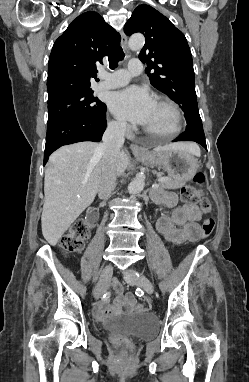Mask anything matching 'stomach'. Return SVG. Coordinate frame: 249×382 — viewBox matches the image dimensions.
<instances>
[{
  "instance_id": "stomach-1",
  "label": "stomach",
  "mask_w": 249,
  "mask_h": 382,
  "mask_svg": "<svg viewBox=\"0 0 249 382\" xmlns=\"http://www.w3.org/2000/svg\"><path fill=\"white\" fill-rule=\"evenodd\" d=\"M157 149V148H156ZM146 151L143 156H136L141 162L150 166L163 168L171 177L191 180L197 172V159L192 153L183 149L167 151Z\"/></svg>"
}]
</instances>
